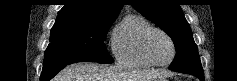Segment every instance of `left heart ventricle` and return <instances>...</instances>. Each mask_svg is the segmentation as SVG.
Wrapping results in <instances>:
<instances>
[{
	"label": "left heart ventricle",
	"instance_id": "1",
	"mask_svg": "<svg viewBox=\"0 0 237 81\" xmlns=\"http://www.w3.org/2000/svg\"><path fill=\"white\" fill-rule=\"evenodd\" d=\"M150 51L155 61L165 63L172 56L170 41L160 33H154L150 38Z\"/></svg>",
	"mask_w": 237,
	"mask_h": 81
}]
</instances>
